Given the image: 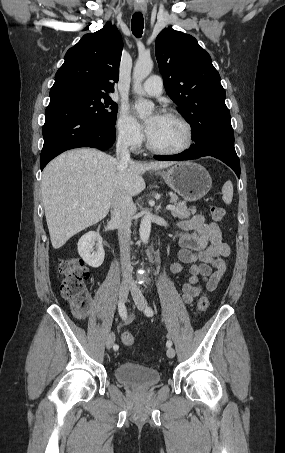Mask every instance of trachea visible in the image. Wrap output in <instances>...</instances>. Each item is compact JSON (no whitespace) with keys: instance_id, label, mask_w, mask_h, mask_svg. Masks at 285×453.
<instances>
[{"instance_id":"1","label":"trachea","mask_w":285,"mask_h":453,"mask_svg":"<svg viewBox=\"0 0 285 453\" xmlns=\"http://www.w3.org/2000/svg\"><path fill=\"white\" fill-rule=\"evenodd\" d=\"M144 20L141 12H136L132 16L131 30L137 38H140L143 34Z\"/></svg>"}]
</instances>
